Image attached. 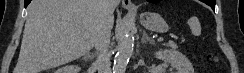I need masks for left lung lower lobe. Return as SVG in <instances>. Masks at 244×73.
<instances>
[{
  "label": "left lung lower lobe",
  "mask_w": 244,
  "mask_h": 73,
  "mask_svg": "<svg viewBox=\"0 0 244 73\" xmlns=\"http://www.w3.org/2000/svg\"><path fill=\"white\" fill-rule=\"evenodd\" d=\"M148 2H156L158 0H147ZM202 2L206 3L207 5L211 6L213 10H215V2L216 0H202Z\"/></svg>",
  "instance_id": "obj_1"
}]
</instances>
